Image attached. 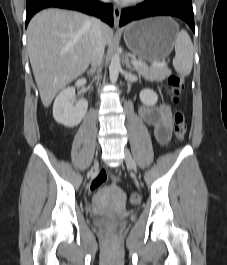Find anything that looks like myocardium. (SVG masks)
Segmentation results:
<instances>
[{
    "mask_svg": "<svg viewBox=\"0 0 227 265\" xmlns=\"http://www.w3.org/2000/svg\"><path fill=\"white\" fill-rule=\"evenodd\" d=\"M144 0H127L126 2L129 3V4H137V3H140Z\"/></svg>",
    "mask_w": 227,
    "mask_h": 265,
    "instance_id": "f54148a6",
    "label": "myocardium"
}]
</instances>
